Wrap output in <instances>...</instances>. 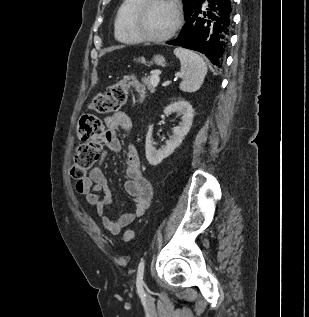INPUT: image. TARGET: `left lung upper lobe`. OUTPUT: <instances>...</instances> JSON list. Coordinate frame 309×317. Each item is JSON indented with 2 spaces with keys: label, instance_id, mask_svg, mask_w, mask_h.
<instances>
[{
  "label": "left lung upper lobe",
  "instance_id": "1",
  "mask_svg": "<svg viewBox=\"0 0 309 317\" xmlns=\"http://www.w3.org/2000/svg\"><path fill=\"white\" fill-rule=\"evenodd\" d=\"M203 0H183V5H184V12H188L194 7L198 6L201 4Z\"/></svg>",
  "mask_w": 309,
  "mask_h": 317
}]
</instances>
